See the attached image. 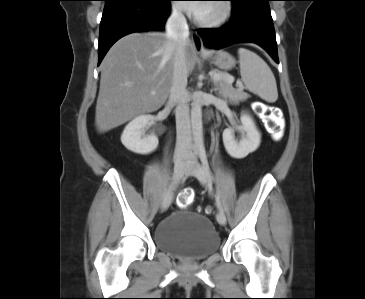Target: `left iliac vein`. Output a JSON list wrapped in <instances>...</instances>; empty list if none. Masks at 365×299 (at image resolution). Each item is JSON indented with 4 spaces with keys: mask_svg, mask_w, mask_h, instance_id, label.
Returning <instances> with one entry per match:
<instances>
[{
    "mask_svg": "<svg viewBox=\"0 0 365 299\" xmlns=\"http://www.w3.org/2000/svg\"><path fill=\"white\" fill-rule=\"evenodd\" d=\"M186 173L191 174L198 179V181L203 185L208 187L210 185L209 175L205 171L204 167L198 162H189L186 167ZM216 219L219 224H226V216L224 212L218 211Z\"/></svg>",
    "mask_w": 365,
    "mask_h": 299,
    "instance_id": "obj_1",
    "label": "left iliac vein"
}]
</instances>
